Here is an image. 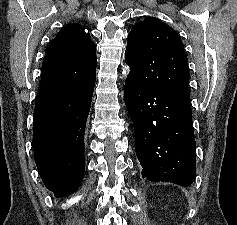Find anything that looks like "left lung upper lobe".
<instances>
[{
    "instance_id": "left-lung-upper-lobe-1",
    "label": "left lung upper lobe",
    "mask_w": 237,
    "mask_h": 225,
    "mask_svg": "<svg viewBox=\"0 0 237 225\" xmlns=\"http://www.w3.org/2000/svg\"><path fill=\"white\" fill-rule=\"evenodd\" d=\"M125 60L137 85L159 91L188 92L187 56L182 40L161 20L149 17L133 27Z\"/></svg>"
}]
</instances>
